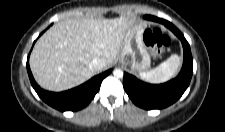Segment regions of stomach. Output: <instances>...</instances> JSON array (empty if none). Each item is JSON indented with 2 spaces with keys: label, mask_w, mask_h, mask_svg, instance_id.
I'll return each instance as SVG.
<instances>
[{
  "label": "stomach",
  "mask_w": 225,
  "mask_h": 132,
  "mask_svg": "<svg viewBox=\"0 0 225 132\" xmlns=\"http://www.w3.org/2000/svg\"><path fill=\"white\" fill-rule=\"evenodd\" d=\"M144 32L145 27L135 23L125 34L119 62L133 72H145L150 67L151 59L143 38Z\"/></svg>",
  "instance_id": "1"
}]
</instances>
